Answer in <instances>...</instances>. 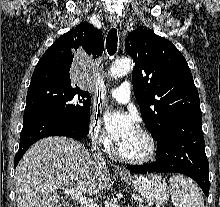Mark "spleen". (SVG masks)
I'll use <instances>...</instances> for the list:
<instances>
[{
	"label": "spleen",
	"mask_w": 220,
	"mask_h": 207,
	"mask_svg": "<svg viewBox=\"0 0 220 207\" xmlns=\"http://www.w3.org/2000/svg\"><path fill=\"white\" fill-rule=\"evenodd\" d=\"M169 191L175 207H204L200 189L192 180L174 175L169 180Z\"/></svg>",
	"instance_id": "1"
}]
</instances>
